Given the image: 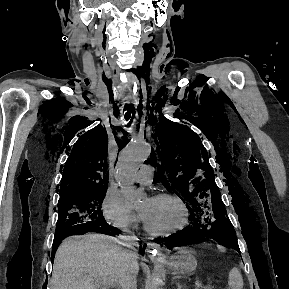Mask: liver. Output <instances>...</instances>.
Here are the masks:
<instances>
[{"instance_id":"1","label":"liver","mask_w":289,"mask_h":289,"mask_svg":"<svg viewBox=\"0 0 289 289\" xmlns=\"http://www.w3.org/2000/svg\"><path fill=\"white\" fill-rule=\"evenodd\" d=\"M128 253L105 235L68 238L55 254L51 289H100L104 281L120 286L127 270L139 272L138 261L128 267Z\"/></svg>"}]
</instances>
